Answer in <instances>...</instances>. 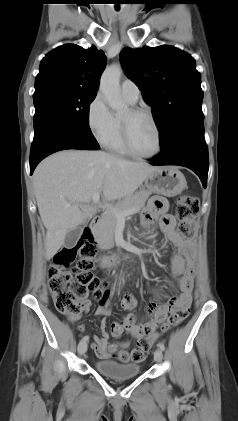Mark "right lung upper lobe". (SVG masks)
Here are the masks:
<instances>
[{"mask_svg": "<svg viewBox=\"0 0 238 421\" xmlns=\"http://www.w3.org/2000/svg\"><path fill=\"white\" fill-rule=\"evenodd\" d=\"M105 65L104 52L94 46L83 49L76 44H65L42 59L35 88L58 85L96 92Z\"/></svg>", "mask_w": 238, "mask_h": 421, "instance_id": "right-lung-upper-lobe-1", "label": "right lung upper lobe"}]
</instances>
